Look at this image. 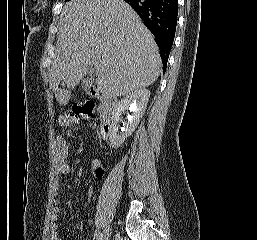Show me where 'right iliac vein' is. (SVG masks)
<instances>
[{"instance_id": "right-iliac-vein-1", "label": "right iliac vein", "mask_w": 257, "mask_h": 240, "mask_svg": "<svg viewBox=\"0 0 257 240\" xmlns=\"http://www.w3.org/2000/svg\"><path fill=\"white\" fill-rule=\"evenodd\" d=\"M110 236H111V228L110 226H107L101 233L99 240H109Z\"/></svg>"}]
</instances>
